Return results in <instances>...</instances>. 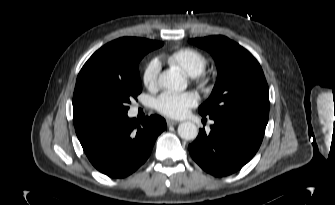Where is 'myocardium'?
<instances>
[{
  "instance_id": "myocardium-1",
  "label": "myocardium",
  "mask_w": 335,
  "mask_h": 205,
  "mask_svg": "<svg viewBox=\"0 0 335 205\" xmlns=\"http://www.w3.org/2000/svg\"><path fill=\"white\" fill-rule=\"evenodd\" d=\"M197 77H198V78L200 79V81L203 82V83H206V82H208V80H209V78L207 77V75L204 74V73H201V74L197 75Z\"/></svg>"
}]
</instances>
